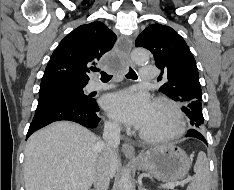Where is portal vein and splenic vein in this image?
Returning <instances> with one entry per match:
<instances>
[{"label":"portal vein and splenic vein","instance_id":"obj_1","mask_svg":"<svg viewBox=\"0 0 234 190\" xmlns=\"http://www.w3.org/2000/svg\"><path fill=\"white\" fill-rule=\"evenodd\" d=\"M188 181H190V178H188L186 181H183V182L163 184L161 187L165 188V189H173L175 186L182 185V184H184L185 182H188Z\"/></svg>","mask_w":234,"mask_h":190}]
</instances>
